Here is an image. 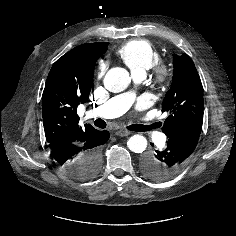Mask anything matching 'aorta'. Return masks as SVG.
Listing matches in <instances>:
<instances>
[{
    "mask_svg": "<svg viewBox=\"0 0 236 236\" xmlns=\"http://www.w3.org/2000/svg\"><path fill=\"white\" fill-rule=\"evenodd\" d=\"M131 81L128 71L115 67L110 69L104 78V86L113 93L125 90ZM128 148L134 153H142L147 148V139L142 135H133L127 141Z\"/></svg>",
    "mask_w": 236,
    "mask_h": 236,
    "instance_id": "1",
    "label": "aorta"
}]
</instances>
